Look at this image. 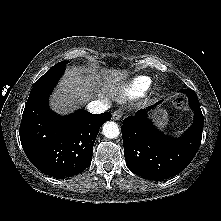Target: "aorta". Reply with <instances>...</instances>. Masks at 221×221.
I'll return each instance as SVG.
<instances>
[{"instance_id": "aorta-1", "label": "aorta", "mask_w": 221, "mask_h": 221, "mask_svg": "<svg viewBox=\"0 0 221 221\" xmlns=\"http://www.w3.org/2000/svg\"><path fill=\"white\" fill-rule=\"evenodd\" d=\"M102 132L103 135L108 139H114L120 134L118 125L113 121L104 123Z\"/></svg>"}]
</instances>
